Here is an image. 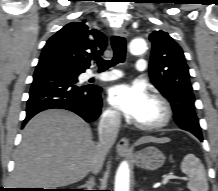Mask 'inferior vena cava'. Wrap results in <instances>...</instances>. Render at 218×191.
Returning <instances> with one entry per match:
<instances>
[{"label":"inferior vena cava","mask_w":218,"mask_h":191,"mask_svg":"<svg viewBox=\"0 0 218 191\" xmlns=\"http://www.w3.org/2000/svg\"><path fill=\"white\" fill-rule=\"evenodd\" d=\"M121 124V116L117 111H109L101 116L98 133L99 142L96 146V155L92 172L97 173L102 168L105 157L114 145Z\"/></svg>","instance_id":"1"}]
</instances>
